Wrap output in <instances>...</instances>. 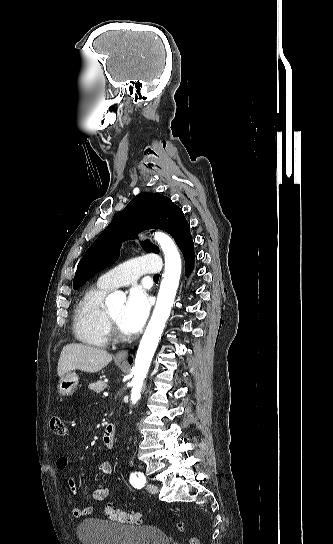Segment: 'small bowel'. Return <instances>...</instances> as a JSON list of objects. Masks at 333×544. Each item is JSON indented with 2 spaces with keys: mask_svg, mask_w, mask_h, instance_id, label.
<instances>
[{
  "mask_svg": "<svg viewBox=\"0 0 333 544\" xmlns=\"http://www.w3.org/2000/svg\"><path fill=\"white\" fill-rule=\"evenodd\" d=\"M56 467L58 470L63 471L66 470L68 467V459L66 457H59L56 461ZM113 471L112 463L109 461H103L98 466V472L102 475H109ZM68 486L71 490V492L74 495L78 494V486L77 482L73 477H69L68 479ZM111 494V488L109 486H99L97 488H94L90 496L94 502L100 503L106 500ZM93 511V507L91 505H81L73 507L72 514L75 517H80L83 515H89Z\"/></svg>",
  "mask_w": 333,
  "mask_h": 544,
  "instance_id": "small-bowel-1",
  "label": "small bowel"
}]
</instances>
